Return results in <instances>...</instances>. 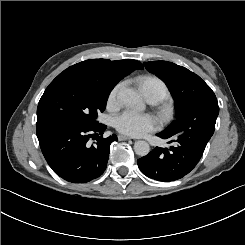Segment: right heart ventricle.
Wrapping results in <instances>:
<instances>
[{
    "mask_svg": "<svg viewBox=\"0 0 245 245\" xmlns=\"http://www.w3.org/2000/svg\"><path fill=\"white\" fill-rule=\"evenodd\" d=\"M140 87L144 93L156 96L157 100H161L169 94L165 83L156 77H146L140 84Z\"/></svg>",
    "mask_w": 245,
    "mask_h": 245,
    "instance_id": "1",
    "label": "right heart ventricle"
}]
</instances>
